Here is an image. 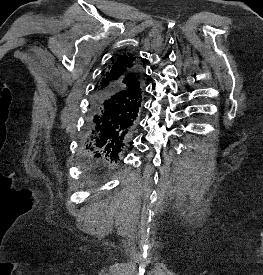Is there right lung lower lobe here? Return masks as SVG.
I'll return each instance as SVG.
<instances>
[{
	"instance_id": "1",
	"label": "right lung lower lobe",
	"mask_w": 263,
	"mask_h": 275,
	"mask_svg": "<svg viewBox=\"0 0 263 275\" xmlns=\"http://www.w3.org/2000/svg\"><path fill=\"white\" fill-rule=\"evenodd\" d=\"M132 74L140 80L138 66ZM128 97L126 89L106 90L93 95L82 140L84 149L94 152L95 156L119 159V154L132 136L138 117V113H131L128 109Z\"/></svg>"
}]
</instances>
